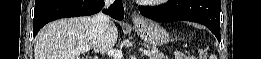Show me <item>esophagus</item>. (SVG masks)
Instances as JSON below:
<instances>
[{
	"instance_id": "obj_1",
	"label": "esophagus",
	"mask_w": 261,
	"mask_h": 59,
	"mask_svg": "<svg viewBox=\"0 0 261 59\" xmlns=\"http://www.w3.org/2000/svg\"><path fill=\"white\" fill-rule=\"evenodd\" d=\"M132 20H133L134 23H139V22H141L143 20V18L141 17L140 14L133 13L132 14Z\"/></svg>"
}]
</instances>
